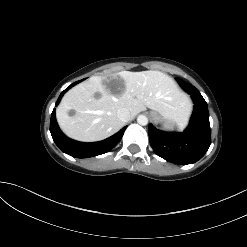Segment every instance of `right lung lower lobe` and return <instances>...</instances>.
I'll list each match as a JSON object with an SVG mask.
<instances>
[{
	"mask_svg": "<svg viewBox=\"0 0 247 247\" xmlns=\"http://www.w3.org/2000/svg\"><path fill=\"white\" fill-rule=\"evenodd\" d=\"M80 81H77L73 84H71L68 88H66L59 96L56 105L60 102L62 96L64 93L74 86L75 84L79 83ZM126 129V126L122 128L118 133L115 135L99 142H93V143H82L75 140H72L65 136L60 128L58 127L56 118H55V109H53V112L51 114V121H50V132L52 135V138L55 142V144L59 147L61 151L64 153L76 157V158H88L93 157L97 155L104 154L108 151H110L115 145L121 140L124 131Z\"/></svg>",
	"mask_w": 247,
	"mask_h": 247,
	"instance_id": "obj_1",
	"label": "right lung lower lobe"
}]
</instances>
